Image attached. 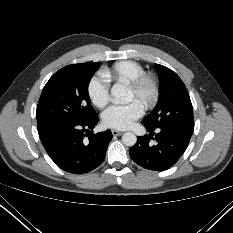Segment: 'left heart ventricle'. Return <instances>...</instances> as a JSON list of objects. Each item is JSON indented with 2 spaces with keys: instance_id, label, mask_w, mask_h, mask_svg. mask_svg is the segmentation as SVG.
<instances>
[{
  "instance_id": "b2bd125f",
  "label": "left heart ventricle",
  "mask_w": 233,
  "mask_h": 233,
  "mask_svg": "<svg viewBox=\"0 0 233 233\" xmlns=\"http://www.w3.org/2000/svg\"><path fill=\"white\" fill-rule=\"evenodd\" d=\"M131 100H138L139 102H141V100L136 96L132 88L129 89V95H128V101H131Z\"/></svg>"
}]
</instances>
